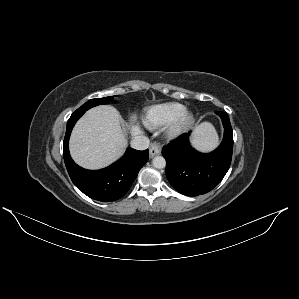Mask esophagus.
I'll return each instance as SVG.
<instances>
[{"label":"esophagus","mask_w":299,"mask_h":299,"mask_svg":"<svg viewBox=\"0 0 299 299\" xmlns=\"http://www.w3.org/2000/svg\"><path fill=\"white\" fill-rule=\"evenodd\" d=\"M161 152V146L158 142H153L151 143L150 147H149V155L150 157L156 156L158 154H160Z\"/></svg>","instance_id":"34e87169"}]
</instances>
